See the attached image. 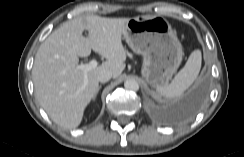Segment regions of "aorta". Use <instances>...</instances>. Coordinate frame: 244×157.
Masks as SVG:
<instances>
[{
	"label": "aorta",
	"mask_w": 244,
	"mask_h": 157,
	"mask_svg": "<svg viewBox=\"0 0 244 157\" xmlns=\"http://www.w3.org/2000/svg\"><path fill=\"white\" fill-rule=\"evenodd\" d=\"M124 87L128 91H138L139 90V84L135 79H127L124 82Z\"/></svg>",
	"instance_id": "762f6f07"
}]
</instances>
